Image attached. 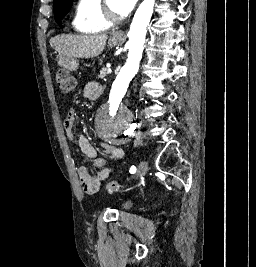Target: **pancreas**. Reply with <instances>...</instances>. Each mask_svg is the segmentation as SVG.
Wrapping results in <instances>:
<instances>
[{
  "mask_svg": "<svg viewBox=\"0 0 256 267\" xmlns=\"http://www.w3.org/2000/svg\"><path fill=\"white\" fill-rule=\"evenodd\" d=\"M107 70H108V68H102V70L100 72V78H104V76H106Z\"/></svg>",
  "mask_w": 256,
  "mask_h": 267,
  "instance_id": "obj_1",
  "label": "pancreas"
}]
</instances>
